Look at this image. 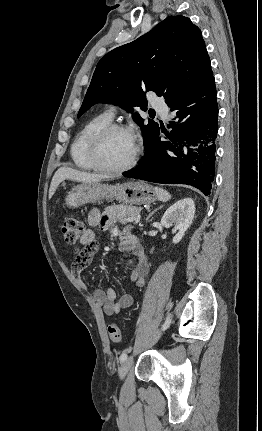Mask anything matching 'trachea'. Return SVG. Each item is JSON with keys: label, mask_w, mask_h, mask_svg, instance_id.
I'll return each instance as SVG.
<instances>
[{"label": "trachea", "mask_w": 262, "mask_h": 431, "mask_svg": "<svg viewBox=\"0 0 262 431\" xmlns=\"http://www.w3.org/2000/svg\"><path fill=\"white\" fill-rule=\"evenodd\" d=\"M150 114H155V111L154 110L150 111Z\"/></svg>", "instance_id": "obj_1"}]
</instances>
